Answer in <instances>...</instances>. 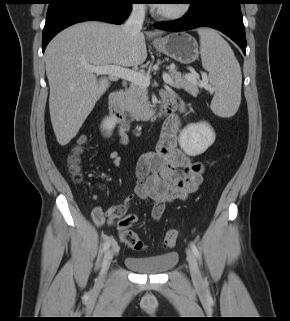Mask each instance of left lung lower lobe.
Here are the masks:
<instances>
[{"label": "left lung lower lobe", "mask_w": 290, "mask_h": 321, "mask_svg": "<svg viewBox=\"0 0 290 321\" xmlns=\"http://www.w3.org/2000/svg\"><path fill=\"white\" fill-rule=\"evenodd\" d=\"M187 14L177 20L157 23L155 27L166 31H184L197 27H211L230 37L245 54L246 37L240 4L242 0H198Z\"/></svg>", "instance_id": "obj_1"}]
</instances>
